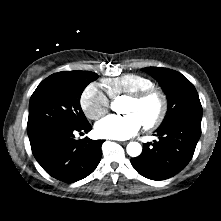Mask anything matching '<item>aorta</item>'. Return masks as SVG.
<instances>
[{"instance_id": "1", "label": "aorta", "mask_w": 221, "mask_h": 221, "mask_svg": "<svg viewBox=\"0 0 221 221\" xmlns=\"http://www.w3.org/2000/svg\"><path fill=\"white\" fill-rule=\"evenodd\" d=\"M113 106V105H112ZM127 153L131 157H137L141 154L142 152V146L138 142H130L127 145Z\"/></svg>"}]
</instances>
